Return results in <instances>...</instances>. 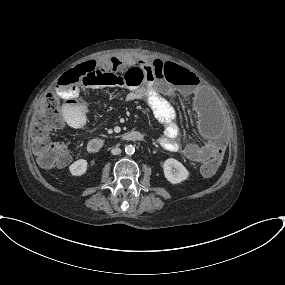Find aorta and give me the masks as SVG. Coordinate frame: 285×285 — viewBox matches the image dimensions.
<instances>
[{
    "label": "aorta",
    "instance_id": "aorta-1",
    "mask_svg": "<svg viewBox=\"0 0 285 285\" xmlns=\"http://www.w3.org/2000/svg\"><path fill=\"white\" fill-rule=\"evenodd\" d=\"M125 152H126V154H128V155H132V154H134V152H135V147H134L133 145H127V146L125 147Z\"/></svg>",
    "mask_w": 285,
    "mask_h": 285
}]
</instances>
